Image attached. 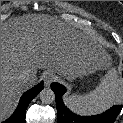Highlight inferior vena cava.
<instances>
[{"label":"inferior vena cava","mask_w":123,"mask_h":123,"mask_svg":"<svg viewBox=\"0 0 123 123\" xmlns=\"http://www.w3.org/2000/svg\"><path fill=\"white\" fill-rule=\"evenodd\" d=\"M21 78H22L24 81H29L30 78H31V75H30L28 72H24V73L21 75Z\"/></svg>","instance_id":"obj_1"}]
</instances>
